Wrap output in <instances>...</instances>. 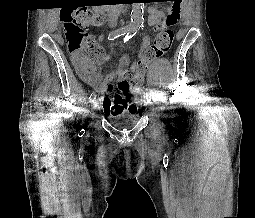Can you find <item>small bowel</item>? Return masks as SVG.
<instances>
[{
  "label": "small bowel",
  "instance_id": "small-bowel-1",
  "mask_svg": "<svg viewBox=\"0 0 255 218\" xmlns=\"http://www.w3.org/2000/svg\"><path fill=\"white\" fill-rule=\"evenodd\" d=\"M178 7L180 9V2L178 4ZM149 11V24L153 29H157L163 22L164 17L167 13H171L173 11V6L171 5L166 10H163L161 8H157L154 6H150L148 8ZM104 36L101 35L96 43L95 51L92 55V57L89 60H85L86 68L90 74V80L88 81L91 85H93L100 95L99 101L101 102L104 111L107 113L105 107H104V99H105V92L107 91V84L111 82L115 77H117L119 84L126 81V75L128 73H133L136 70V66L138 62L144 57V52L148 48L149 45V39L146 38L142 45V51L139 54V59L134 62L130 66V61L127 57H122L119 62V66L115 72L109 73L104 78L102 77L101 71L98 68V64H103L110 60V55L103 52L100 48V44L103 41Z\"/></svg>",
  "mask_w": 255,
  "mask_h": 218
}]
</instances>
